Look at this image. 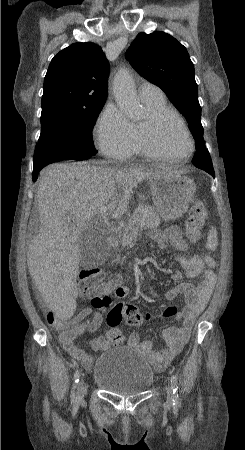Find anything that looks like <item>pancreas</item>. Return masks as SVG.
<instances>
[{
	"label": "pancreas",
	"mask_w": 245,
	"mask_h": 450,
	"mask_svg": "<svg viewBox=\"0 0 245 450\" xmlns=\"http://www.w3.org/2000/svg\"><path fill=\"white\" fill-rule=\"evenodd\" d=\"M159 224L158 213L151 206H139L124 226L122 246L126 247L132 243L134 229L156 228Z\"/></svg>",
	"instance_id": "obj_1"
}]
</instances>
